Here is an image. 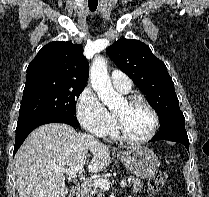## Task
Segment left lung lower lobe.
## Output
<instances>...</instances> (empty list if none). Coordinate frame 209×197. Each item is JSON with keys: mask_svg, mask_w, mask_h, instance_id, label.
Returning a JSON list of instances; mask_svg holds the SVG:
<instances>
[{"mask_svg": "<svg viewBox=\"0 0 209 197\" xmlns=\"http://www.w3.org/2000/svg\"><path fill=\"white\" fill-rule=\"evenodd\" d=\"M158 140H169L182 143L189 151V139L185 130V122L172 123L161 128L150 142Z\"/></svg>", "mask_w": 209, "mask_h": 197, "instance_id": "left-lung-lower-lobe-1", "label": "left lung lower lobe"}]
</instances>
